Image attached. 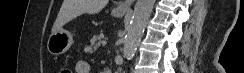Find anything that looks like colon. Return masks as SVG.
<instances>
[{
	"label": "colon",
	"instance_id": "obj_1",
	"mask_svg": "<svg viewBox=\"0 0 244 73\" xmlns=\"http://www.w3.org/2000/svg\"><path fill=\"white\" fill-rule=\"evenodd\" d=\"M61 73H72V71L69 67H64L61 69Z\"/></svg>",
	"mask_w": 244,
	"mask_h": 73
}]
</instances>
